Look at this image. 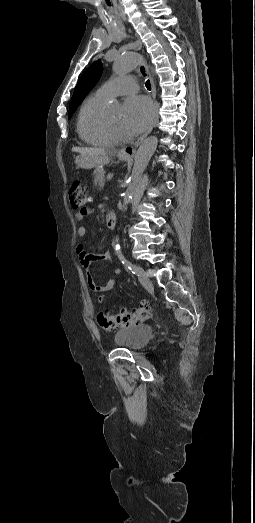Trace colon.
Instances as JSON below:
<instances>
[{"label":"colon","mask_w":255,"mask_h":523,"mask_svg":"<svg viewBox=\"0 0 255 523\" xmlns=\"http://www.w3.org/2000/svg\"><path fill=\"white\" fill-rule=\"evenodd\" d=\"M87 194L84 184L81 181H74L69 190V201L74 209H82L87 203ZM152 317V308L144 303L139 309L133 312H121L110 314L100 312L97 316L98 324L105 330H114L118 327L139 324Z\"/></svg>","instance_id":"1"}]
</instances>
